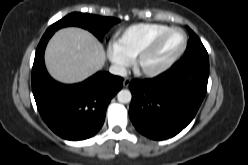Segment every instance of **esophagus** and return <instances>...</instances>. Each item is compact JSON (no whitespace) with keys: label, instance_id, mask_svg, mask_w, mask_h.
<instances>
[{"label":"esophagus","instance_id":"esophagus-1","mask_svg":"<svg viewBox=\"0 0 248 165\" xmlns=\"http://www.w3.org/2000/svg\"><path fill=\"white\" fill-rule=\"evenodd\" d=\"M131 82V79L129 77H126L123 81V86L127 88Z\"/></svg>","mask_w":248,"mask_h":165}]
</instances>
